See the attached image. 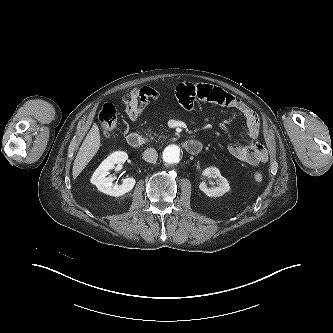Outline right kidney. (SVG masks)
I'll return each mask as SVG.
<instances>
[{
    "instance_id": "obj_1",
    "label": "right kidney",
    "mask_w": 333,
    "mask_h": 333,
    "mask_svg": "<svg viewBox=\"0 0 333 333\" xmlns=\"http://www.w3.org/2000/svg\"><path fill=\"white\" fill-rule=\"evenodd\" d=\"M128 159V155L123 151H117L109 155L96 169L91 177V183L104 194L111 196H121L131 191L136 183L134 178H126L121 185L113 184L114 177L108 176V171L116 164H123Z\"/></svg>"
}]
</instances>
